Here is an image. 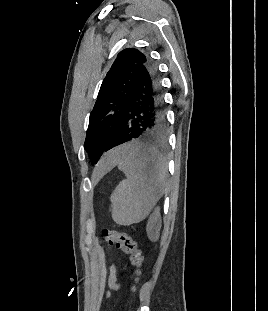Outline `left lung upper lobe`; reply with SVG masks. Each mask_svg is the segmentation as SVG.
I'll list each match as a JSON object with an SVG mask.
<instances>
[{"label": "left lung upper lobe", "mask_w": 268, "mask_h": 311, "mask_svg": "<svg viewBox=\"0 0 268 311\" xmlns=\"http://www.w3.org/2000/svg\"><path fill=\"white\" fill-rule=\"evenodd\" d=\"M148 59L135 48L124 49L104 78L90 113L84 144L92 163H97L123 122L138 70Z\"/></svg>", "instance_id": "1"}]
</instances>
